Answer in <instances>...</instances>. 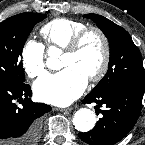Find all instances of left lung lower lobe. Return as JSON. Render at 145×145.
I'll use <instances>...</instances> for the list:
<instances>
[{"instance_id": "1", "label": "left lung lower lobe", "mask_w": 145, "mask_h": 145, "mask_svg": "<svg viewBox=\"0 0 145 145\" xmlns=\"http://www.w3.org/2000/svg\"><path fill=\"white\" fill-rule=\"evenodd\" d=\"M143 91L131 87H116L104 93L88 94L83 103H96V113L103 114L89 132H79L89 145H114L133 128L141 112ZM104 106V110L99 107Z\"/></svg>"}]
</instances>
